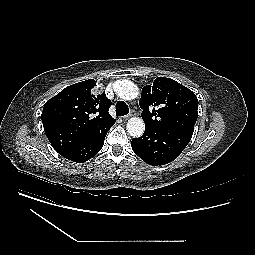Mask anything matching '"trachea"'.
Returning <instances> with one entry per match:
<instances>
[{
    "mask_svg": "<svg viewBox=\"0 0 255 255\" xmlns=\"http://www.w3.org/2000/svg\"><path fill=\"white\" fill-rule=\"evenodd\" d=\"M129 113V107L123 101H118L116 104V114L117 116H124Z\"/></svg>",
    "mask_w": 255,
    "mask_h": 255,
    "instance_id": "1",
    "label": "trachea"
}]
</instances>
